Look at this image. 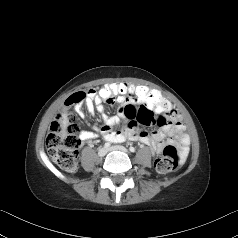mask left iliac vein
Returning a JSON list of instances; mask_svg holds the SVG:
<instances>
[{"label":"left iliac vein","mask_w":238,"mask_h":238,"mask_svg":"<svg viewBox=\"0 0 238 238\" xmlns=\"http://www.w3.org/2000/svg\"><path fill=\"white\" fill-rule=\"evenodd\" d=\"M108 151H121L126 154L129 153V151L125 147L119 146V145L112 146V147L108 148Z\"/></svg>","instance_id":"left-iliac-vein-1"}]
</instances>
